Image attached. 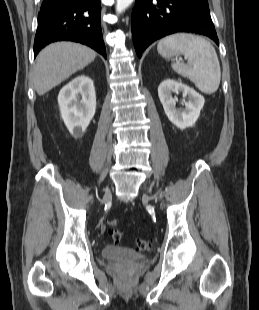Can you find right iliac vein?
I'll return each mask as SVG.
<instances>
[{
  "mask_svg": "<svg viewBox=\"0 0 259 310\" xmlns=\"http://www.w3.org/2000/svg\"><path fill=\"white\" fill-rule=\"evenodd\" d=\"M111 199V192L110 190H107L105 193V200H110Z\"/></svg>",
  "mask_w": 259,
  "mask_h": 310,
  "instance_id": "obj_1",
  "label": "right iliac vein"
}]
</instances>
